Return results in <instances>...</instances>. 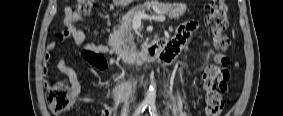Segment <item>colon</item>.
Returning a JSON list of instances; mask_svg holds the SVG:
<instances>
[{
    "label": "colon",
    "mask_w": 283,
    "mask_h": 116,
    "mask_svg": "<svg viewBox=\"0 0 283 116\" xmlns=\"http://www.w3.org/2000/svg\"><path fill=\"white\" fill-rule=\"evenodd\" d=\"M93 0H79L78 11L82 14L91 12ZM208 24L213 35V44L216 49L213 62L208 64L203 72V89L205 91L206 114L219 116L225 106L222 92L227 89L230 78L227 70L230 58L227 54L230 39L225 34L228 27L227 5L224 0H212L208 15ZM46 100L54 114H63L69 111L75 102L72 89L63 82L52 83L48 86Z\"/></svg>",
    "instance_id": "obj_1"
}]
</instances>
